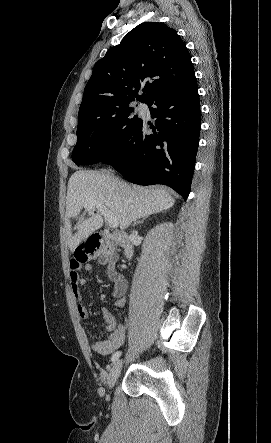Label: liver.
I'll use <instances>...</instances> for the list:
<instances>
[{"mask_svg": "<svg viewBox=\"0 0 271 443\" xmlns=\"http://www.w3.org/2000/svg\"><path fill=\"white\" fill-rule=\"evenodd\" d=\"M109 172H94V170H79L69 178L66 198V233L67 245L74 251L93 231L102 227L104 220L100 214L89 212L87 218L81 212L84 204L99 202L109 212L114 214L119 222L120 229H126L131 222L140 220L143 216H151L162 210H169L175 204L174 198L165 190L142 188V186H128L120 182ZM79 222L72 227V220ZM73 229H77L73 233Z\"/></svg>", "mask_w": 271, "mask_h": 443, "instance_id": "liver-1", "label": "liver"}]
</instances>
